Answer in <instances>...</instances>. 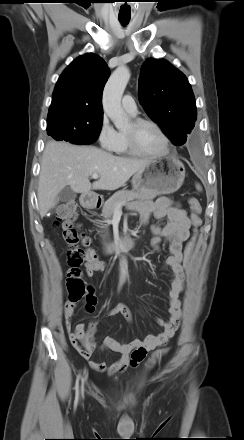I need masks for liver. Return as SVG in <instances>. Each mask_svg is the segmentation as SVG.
<instances>
[{
    "label": "liver",
    "mask_w": 244,
    "mask_h": 440,
    "mask_svg": "<svg viewBox=\"0 0 244 440\" xmlns=\"http://www.w3.org/2000/svg\"><path fill=\"white\" fill-rule=\"evenodd\" d=\"M149 161L114 156L94 146L47 143L38 182L40 216L44 217L55 206L58 194L66 186L81 194L91 190H116ZM95 173L100 178L91 184L89 177Z\"/></svg>",
    "instance_id": "obj_1"
}]
</instances>
